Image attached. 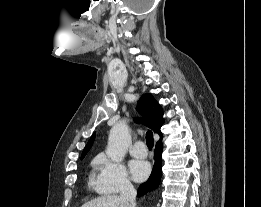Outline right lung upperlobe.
Returning a JSON list of instances; mask_svg holds the SVG:
<instances>
[{
	"instance_id": "cb5924a9",
	"label": "right lung upper lobe",
	"mask_w": 261,
	"mask_h": 207,
	"mask_svg": "<svg viewBox=\"0 0 261 207\" xmlns=\"http://www.w3.org/2000/svg\"><path fill=\"white\" fill-rule=\"evenodd\" d=\"M137 110L144 116L145 124L151 128L155 133H158L160 139L158 142L162 141L163 135L160 131L161 126L164 123L163 110L154 97L147 93L142 95L138 102ZM95 138V133L92 135L87 145L85 146L81 158H84L86 153L89 151L93 144Z\"/></svg>"
}]
</instances>
